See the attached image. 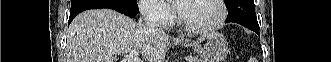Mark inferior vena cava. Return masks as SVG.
I'll return each mask as SVG.
<instances>
[{
  "mask_svg": "<svg viewBox=\"0 0 331 62\" xmlns=\"http://www.w3.org/2000/svg\"><path fill=\"white\" fill-rule=\"evenodd\" d=\"M145 26L152 31L164 33L159 24L158 17L153 12H147L145 16Z\"/></svg>",
  "mask_w": 331,
  "mask_h": 62,
  "instance_id": "1",
  "label": "inferior vena cava"
}]
</instances>
